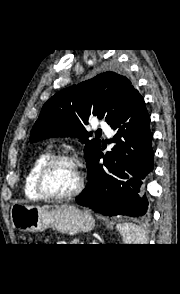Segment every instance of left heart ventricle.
Instances as JSON below:
<instances>
[{
	"label": "left heart ventricle",
	"mask_w": 180,
	"mask_h": 294,
	"mask_svg": "<svg viewBox=\"0 0 180 294\" xmlns=\"http://www.w3.org/2000/svg\"><path fill=\"white\" fill-rule=\"evenodd\" d=\"M78 184V172L75 166L68 162L54 165L47 173L44 181L46 190L52 194H65Z\"/></svg>",
	"instance_id": "left-heart-ventricle-1"
}]
</instances>
